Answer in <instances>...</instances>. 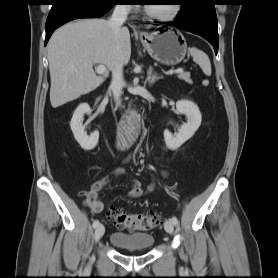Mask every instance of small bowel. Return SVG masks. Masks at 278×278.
Returning <instances> with one entry per match:
<instances>
[{
    "label": "small bowel",
    "mask_w": 278,
    "mask_h": 278,
    "mask_svg": "<svg viewBox=\"0 0 278 278\" xmlns=\"http://www.w3.org/2000/svg\"><path fill=\"white\" fill-rule=\"evenodd\" d=\"M125 170L123 168H117L113 171L112 176L123 175ZM111 176L104 177L92 184L89 191L86 192V198L84 200L85 206H87L93 213H100L104 209V205L99 198V192L109 183ZM155 187V183L151 182L147 190H143L141 183L136 180H131V189L129 196L132 198H138L145 195L147 192H151Z\"/></svg>",
    "instance_id": "small-bowel-1"
}]
</instances>
